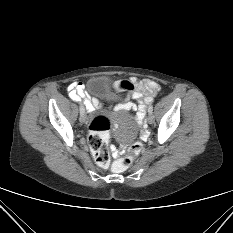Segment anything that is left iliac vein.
<instances>
[{
	"label": "left iliac vein",
	"instance_id": "1",
	"mask_svg": "<svg viewBox=\"0 0 233 233\" xmlns=\"http://www.w3.org/2000/svg\"><path fill=\"white\" fill-rule=\"evenodd\" d=\"M147 122L149 124H153V122H154V116L152 115V113L148 114V116H147Z\"/></svg>",
	"mask_w": 233,
	"mask_h": 233
}]
</instances>
